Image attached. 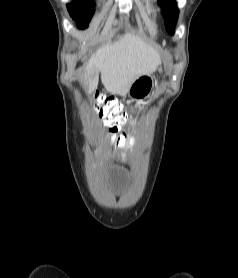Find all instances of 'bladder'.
Listing matches in <instances>:
<instances>
[{
	"instance_id": "bladder-1",
	"label": "bladder",
	"mask_w": 238,
	"mask_h": 278,
	"mask_svg": "<svg viewBox=\"0 0 238 278\" xmlns=\"http://www.w3.org/2000/svg\"><path fill=\"white\" fill-rule=\"evenodd\" d=\"M112 171H113V172H116V171H117V168H116V167H113V168H112ZM118 174H127V169H118ZM113 179H114V180H125V175H114V176H113ZM113 188H114V189H117V188H118V185H117V184H114V185H113Z\"/></svg>"
}]
</instances>
